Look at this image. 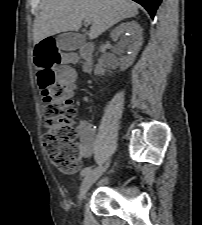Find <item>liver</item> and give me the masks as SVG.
<instances>
[{
  "instance_id": "6515ba94",
  "label": "liver",
  "mask_w": 202,
  "mask_h": 225,
  "mask_svg": "<svg viewBox=\"0 0 202 225\" xmlns=\"http://www.w3.org/2000/svg\"><path fill=\"white\" fill-rule=\"evenodd\" d=\"M137 14L138 5L129 0H43L34 22V43L57 33L78 31L86 18L92 21L89 38L93 40Z\"/></svg>"
}]
</instances>
